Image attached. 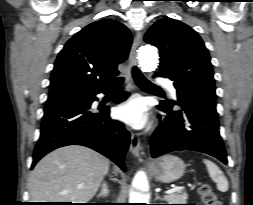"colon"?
I'll return each mask as SVG.
<instances>
[{"instance_id":"5ec220e1","label":"colon","mask_w":253,"mask_h":205,"mask_svg":"<svg viewBox=\"0 0 253 205\" xmlns=\"http://www.w3.org/2000/svg\"><path fill=\"white\" fill-rule=\"evenodd\" d=\"M199 195L204 205H221L211 185L204 183L199 187Z\"/></svg>"}]
</instances>
